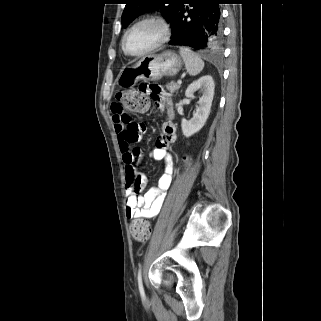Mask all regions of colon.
I'll return each mask as SVG.
<instances>
[{"instance_id":"colon-1","label":"colon","mask_w":321,"mask_h":321,"mask_svg":"<svg viewBox=\"0 0 321 321\" xmlns=\"http://www.w3.org/2000/svg\"><path fill=\"white\" fill-rule=\"evenodd\" d=\"M149 96L145 98L143 93L137 90H127L117 94L118 109L125 116L145 112L149 107ZM145 177L136 169L132 168L127 174V186L133 191H139L145 186ZM131 234L140 242L147 241L151 236V225L148 221L137 219L131 223Z\"/></svg>"}]
</instances>
